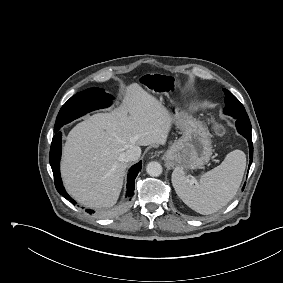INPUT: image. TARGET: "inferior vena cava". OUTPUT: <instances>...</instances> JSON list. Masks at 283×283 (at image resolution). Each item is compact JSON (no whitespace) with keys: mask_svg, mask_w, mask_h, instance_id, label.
<instances>
[{"mask_svg":"<svg viewBox=\"0 0 283 283\" xmlns=\"http://www.w3.org/2000/svg\"><path fill=\"white\" fill-rule=\"evenodd\" d=\"M141 154V149L138 146L131 147L122 154V159L125 162L136 161Z\"/></svg>","mask_w":283,"mask_h":283,"instance_id":"obj_1","label":"inferior vena cava"}]
</instances>
